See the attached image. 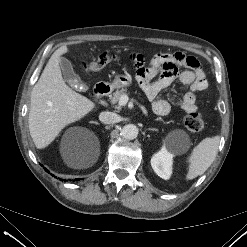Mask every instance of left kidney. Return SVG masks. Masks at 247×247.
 Instances as JSON below:
<instances>
[{
    "label": "left kidney",
    "instance_id": "1",
    "mask_svg": "<svg viewBox=\"0 0 247 247\" xmlns=\"http://www.w3.org/2000/svg\"><path fill=\"white\" fill-rule=\"evenodd\" d=\"M173 154L165 146L153 155L151 158V166L154 172L162 179H169L172 174Z\"/></svg>",
    "mask_w": 247,
    "mask_h": 247
}]
</instances>
